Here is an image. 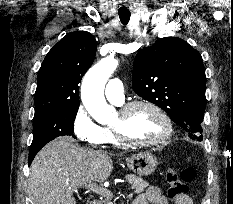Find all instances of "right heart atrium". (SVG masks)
I'll list each match as a JSON object with an SVG mask.
<instances>
[{
    "label": "right heart atrium",
    "mask_w": 233,
    "mask_h": 204,
    "mask_svg": "<svg viewBox=\"0 0 233 204\" xmlns=\"http://www.w3.org/2000/svg\"><path fill=\"white\" fill-rule=\"evenodd\" d=\"M72 130L75 137L86 145L99 146L105 143L103 127L92 119L83 105H79L74 113Z\"/></svg>",
    "instance_id": "1"
}]
</instances>
